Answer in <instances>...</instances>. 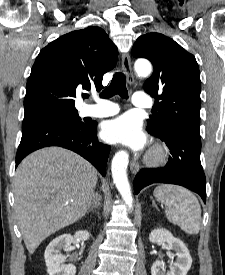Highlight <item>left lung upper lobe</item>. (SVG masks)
Masks as SVG:
<instances>
[{"label": "left lung upper lobe", "mask_w": 225, "mask_h": 275, "mask_svg": "<svg viewBox=\"0 0 225 275\" xmlns=\"http://www.w3.org/2000/svg\"><path fill=\"white\" fill-rule=\"evenodd\" d=\"M132 55L154 66L144 90L156 99L154 110L158 112L150 116L147 131L156 136L171 132L200 135L201 81L195 57L159 33L139 37Z\"/></svg>", "instance_id": "obj_1"}]
</instances>
